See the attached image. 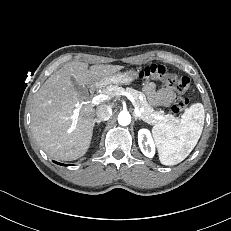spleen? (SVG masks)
I'll use <instances>...</instances> for the list:
<instances>
[{"label": "spleen", "instance_id": "obj_1", "mask_svg": "<svg viewBox=\"0 0 231 231\" xmlns=\"http://www.w3.org/2000/svg\"><path fill=\"white\" fill-rule=\"evenodd\" d=\"M204 119L203 105L194 103L174 123L153 127L159 159L163 165H176L190 154L201 136Z\"/></svg>", "mask_w": 231, "mask_h": 231}]
</instances>
